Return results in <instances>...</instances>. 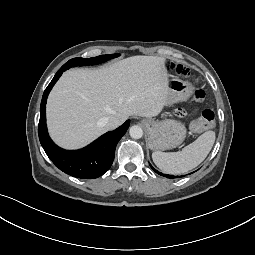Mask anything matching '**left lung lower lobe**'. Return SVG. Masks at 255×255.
<instances>
[{"mask_svg":"<svg viewBox=\"0 0 255 255\" xmlns=\"http://www.w3.org/2000/svg\"><path fill=\"white\" fill-rule=\"evenodd\" d=\"M151 166V165H150ZM151 168L156 172V173H158L159 175H163L162 173H160V172H158L157 170H155L152 166H151ZM166 177H168V178H173L174 176H172V175H166Z\"/></svg>","mask_w":255,"mask_h":255,"instance_id":"left-lung-lower-lobe-1","label":"left lung lower lobe"}]
</instances>
